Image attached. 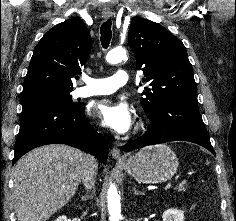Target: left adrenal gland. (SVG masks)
<instances>
[{
    "label": "left adrenal gland",
    "instance_id": "a2214340",
    "mask_svg": "<svg viewBox=\"0 0 236 221\" xmlns=\"http://www.w3.org/2000/svg\"><path fill=\"white\" fill-rule=\"evenodd\" d=\"M132 190H133L134 195H143L144 194V192L137 190L135 186H133Z\"/></svg>",
    "mask_w": 236,
    "mask_h": 221
}]
</instances>
